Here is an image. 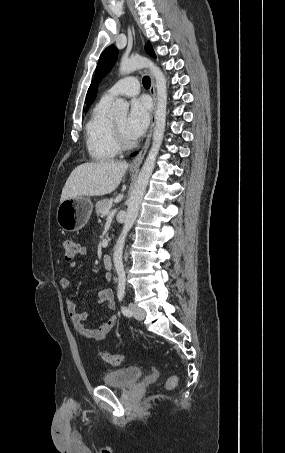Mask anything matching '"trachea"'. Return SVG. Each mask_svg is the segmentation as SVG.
Wrapping results in <instances>:
<instances>
[{
  "instance_id": "1",
  "label": "trachea",
  "mask_w": 285,
  "mask_h": 453,
  "mask_svg": "<svg viewBox=\"0 0 285 453\" xmlns=\"http://www.w3.org/2000/svg\"><path fill=\"white\" fill-rule=\"evenodd\" d=\"M142 82L144 87L146 88L150 87V77L144 76Z\"/></svg>"
}]
</instances>
